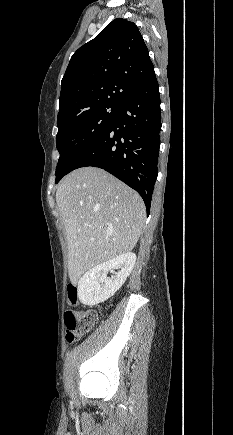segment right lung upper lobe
Masks as SVG:
<instances>
[{
    "mask_svg": "<svg viewBox=\"0 0 233 435\" xmlns=\"http://www.w3.org/2000/svg\"><path fill=\"white\" fill-rule=\"evenodd\" d=\"M154 74L137 26L113 20L71 57L61 82L57 123L99 106L120 107Z\"/></svg>",
    "mask_w": 233,
    "mask_h": 435,
    "instance_id": "right-lung-upper-lobe-1",
    "label": "right lung upper lobe"
}]
</instances>
